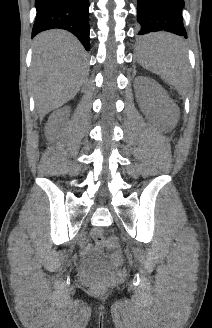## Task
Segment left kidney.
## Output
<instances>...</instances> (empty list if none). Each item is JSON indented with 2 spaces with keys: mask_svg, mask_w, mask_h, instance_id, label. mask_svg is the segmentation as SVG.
<instances>
[{
  "mask_svg": "<svg viewBox=\"0 0 212 328\" xmlns=\"http://www.w3.org/2000/svg\"><path fill=\"white\" fill-rule=\"evenodd\" d=\"M135 89L137 101L145 115H150L149 99L152 97L161 108L160 124L162 129L169 131L175 127L179 118V109L156 81L147 77H139Z\"/></svg>",
  "mask_w": 212,
  "mask_h": 328,
  "instance_id": "left-kidney-1",
  "label": "left kidney"
}]
</instances>
